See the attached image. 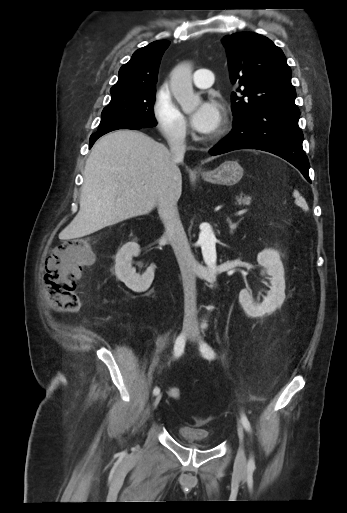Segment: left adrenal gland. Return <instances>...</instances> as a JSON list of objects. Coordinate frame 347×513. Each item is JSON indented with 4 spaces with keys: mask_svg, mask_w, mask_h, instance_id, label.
<instances>
[{
    "mask_svg": "<svg viewBox=\"0 0 347 513\" xmlns=\"http://www.w3.org/2000/svg\"><path fill=\"white\" fill-rule=\"evenodd\" d=\"M242 219L243 218H240L237 222L233 223L232 220L229 217H227V223L229 225L230 234H233L234 230H236Z\"/></svg>",
    "mask_w": 347,
    "mask_h": 513,
    "instance_id": "1",
    "label": "left adrenal gland"
}]
</instances>
